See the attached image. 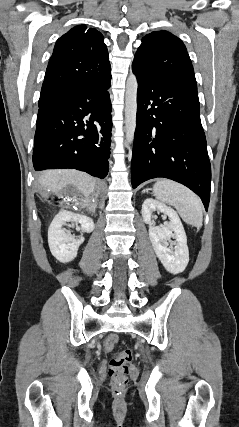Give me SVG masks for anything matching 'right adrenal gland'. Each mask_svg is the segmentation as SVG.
Listing matches in <instances>:
<instances>
[{
	"mask_svg": "<svg viewBox=\"0 0 239 427\" xmlns=\"http://www.w3.org/2000/svg\"><path fill=\"white\" fill-rule=\"evenodd\" d=\"M94 196H95V199L97 198V194L96 193H94ZM96 202H93L92 204H90V206H88V208L90 209V210H92V211H95V208H96Z\"/></svg>",
	"mask_w": 239,
	"mask_h": 427,
	"instance_id": "2a0ac1e0",
	"label": "right adrenal gland"
}]
</instances>
